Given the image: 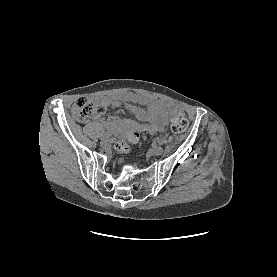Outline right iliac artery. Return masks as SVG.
Masks as SVG:
<instances>
[{
  "mask_svg": "<svg viewBox=\"0 0 277 277\" xmlns=\"http://www.w3.org/2000/svg\"><path fill=\"white\" fill-rule=\"evenodd\" d=\"M112 135L111 131H107L105 133L102 134L101 138L105 139V138H109Z\"/></svg>",
  "mask_w": 277,
  "mask_h": 277,
  "instance_id": "1",
  "label": "right iliac artery"
}]
</instances>
